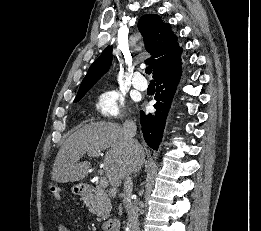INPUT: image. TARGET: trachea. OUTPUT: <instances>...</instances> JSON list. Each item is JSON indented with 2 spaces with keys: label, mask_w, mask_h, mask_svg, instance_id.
<instances>
[{
  "label": "trachea",
  "mask_w": 261,
  "mask_h": 231,
  "mask_svg": "<svg viewBox=\"0 0 261 231\" xmlns=\"http://www.w3.org/2000/svg\"><path fill=\"white\" fill-rule=\"evenodd\" d=\"M145 72H146V74H151L152 68H151V67H147V68L145 69Z\"/></svg>",
  "instance_id": "trachea-1"
}]
</instances>
